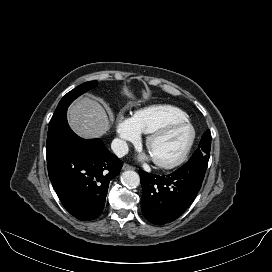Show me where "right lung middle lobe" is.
<instances>
[{"label":"right lung middle lobe","instance_id":"obj_1","mask_svg":"<svg viewBox=\"0 0 272 272\" xmlns=\"http://www.w3.org/2000/svg\"><path fill=\"white\" fill-rule=\"evenodd\" d=\"M97 84V81H89L81 84L80 86L74 88L68 92L59 102L51 120L48 128L47 135V145L46 147L51 146L58 140L64 133V131L69 126L66 118V111L71 102L76 99L79 95L86 92L88 89L94 87Z\"/></svg>","mask_w":272,"mask_h":272}]
</instances>
